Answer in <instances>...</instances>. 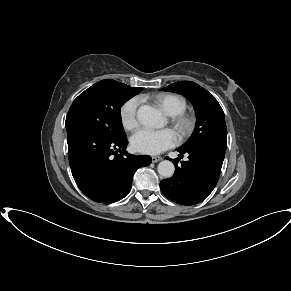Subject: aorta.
Returning a JSON list of instances; mask_svg holds the SVG:
<instances>
[{"mask_svg": "<svg viewBox=\"0 0 291 291\" xmlns=\"http://www.w3.org/2000/svg\"><path fill=\"white\" fill-rule=\"evenodd\" d=\"M138 121L149 128H160L164 125V118L159 110L149 105H142L137 111ZM158 173L164 178L173 176L175 167L169 160H163L158 164Z\"/></svg>", "mask_w": 291, "mask_h": 291, "instance_id": "762f6f07", "label": "aorta"}]
</instances>
